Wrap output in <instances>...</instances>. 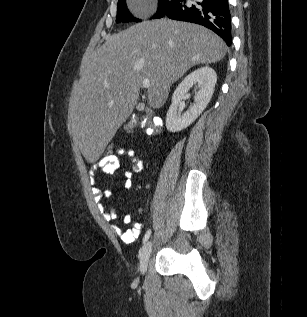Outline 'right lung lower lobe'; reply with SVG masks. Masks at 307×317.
I'll use <instances>...</instances> for the list:
<instances>
[{"label": "right lung lower lobe", "instance_id": "98d812e1", "mask_svg": "<svg viewBox=\"0 0 307 317\" xmlns=\"http://www.w3.org/2000/svg\"><path fill=\"white\" fill-rule=\"evenodd\" d=\"M187 21L203 25L218 34L228 46L231 45V19L228 0H200L192 6L186 0H176L158 18Z\"/></svg>", "mask_w": 307, "mask_h": 317}]
</instances>
